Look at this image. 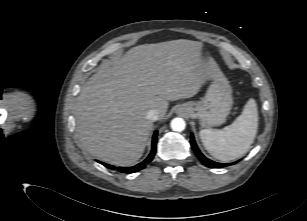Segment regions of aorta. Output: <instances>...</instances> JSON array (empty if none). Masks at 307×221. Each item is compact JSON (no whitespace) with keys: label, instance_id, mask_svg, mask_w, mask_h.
Returning <instances> with one entry per match:
<instances>
[{"label":"aorta","instance_id":"obj_1","mask_svg":"<svg viewBox=\"0 0 307 221\" xmlns=\"http://www.w3.org/2000/svg\"><path fill=\"white\" fill-rule=\"evenodd\" d=\"M171 128L174 131L177 132H181L185 129L186 127V123L184 121V119L180 118V117H176L171 121Z\"/></svg>","mask_w":307,"mask_h":221}]
</instances>
